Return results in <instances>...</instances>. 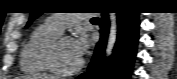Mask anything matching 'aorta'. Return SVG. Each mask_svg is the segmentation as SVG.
Instances as JSON below:
<instances>
[{"instance_id":"762f6f07","label":"aorta","mask_w":177,"mask_h":79,"mask_svg":"<svg viewBox=\"0 0 177 79\" xmlns=\"http://www.w3.org/2000/svg\"><path fill=\"white\" fill-rule=\"evenodd\" d=\"M109 21H110L109 34H108L107 45L105 50L106 57H109L112 54L113 48L117 40L118 29H117V16L115 13L109 14Z\"/></svg>"}]
</instances>
